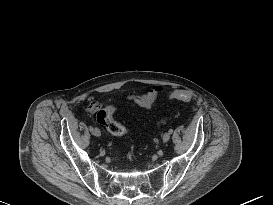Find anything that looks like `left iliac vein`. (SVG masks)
Wrapping results in <instances>:
<instances>
[{
	"label": "left iliac vein",
	"mask_w": 273,
	"mask_h": 205,
	"mask_svg": "<svg viewBox=\"0 0 273 205\" xmlns=\"http://www.w3.org/2000/svg\"><path fill=\"white\" fill-rule=\"evenodd\" d=\"M170 139V134L168 132H166L163 137H162V140L164 143L168 142Z\"/></svg>",
	"instance_id": "4c4485c4"
}]
</instances>
